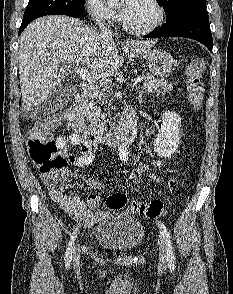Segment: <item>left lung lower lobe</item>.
I'll use <instances>...</instances> for the list:
<instances>
[{
	"instance_id": "left-lung-lower-lobe-1",
	"label": "left lung lower lobe",
	"mask_w": 233,
	"mask_h": 294,
	"mask_svg": "<svg viewBox=\"0 0 233 294\" xmlns=\"http://www.w3.org/2000/svg\"><path fill=\"white\" fill-rule=\"evenodd\" d=\"M185 37L204 44L211 52L213 46L209 17L206 9L186 8L168 18L165 25L144 38Z\"/></svg>"
}]
</instances>
